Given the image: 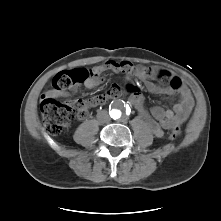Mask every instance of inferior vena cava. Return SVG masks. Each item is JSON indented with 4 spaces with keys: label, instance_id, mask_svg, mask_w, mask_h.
Returning a JSON list of instances; mask_svg holds the SVG:
<instances>
[{
    "label": "inferior vena cava",
    "instance_id": "1",
    "mask_svg": "<svg viewBox=\"0 0 221 221\" xmlns=\"http://www.w3.org/2000/svg\"><path fill=\"white\" fill-rule=\"evenodd\" d=\"M97 119L100 121V122H103V123H108L110 121V117L109 115L107 114L106 111H101L97 114Z\"/></svg>",
    "mask_w": 221,
    "mask_h": 221
}]
</instances>
